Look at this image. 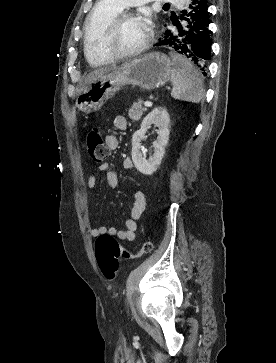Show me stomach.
<instances>
[{
  "mask_svg": "<svg viewBox=\"0 0 276 363\" xmlns=\"http://www.w3.org/2000/svg\"><path fill=\"white\" fill-rule=\"evenodd\" d=\"M172 70L170 58L159 52L129 60L87 85L77 97L76 106L87 114L98 111L125 85L146 91L158 89L171 79Z\"/></svg>",
  "mask_w": 276,
  "mask_h": 363,
  "instance_id": "stomach-1",
  "label": "stomach"
}]
</instances>
